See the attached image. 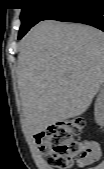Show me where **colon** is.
Returning a JSON list of instances; mask_svg holds the SVG:
<instances>
[{
    "mask_svg": "<svg viewBox=\"0 0 104 169\" xmlns=\"http://www.w3.org/2000/svg\"><path fill=\"white\" fill-rule=\"evenodd\" d=\"M85 120L76 117L59 122L37 136L41 152L49 165L57 169H70L74 165L83 166L100 156L93 141L81 139Z\"/></svg>",
    "mask_w": 104,
    "mask_h": 169,
    "instance_id": "obj_1",
    "label": "colon"
}]
</instances>
